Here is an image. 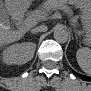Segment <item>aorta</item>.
I'll use <instances>...</instances> for the list:
<instances>
[{"instance_id":"obj_1","label":"aorta","mask_w":91,"mask_h":91,"mask_svg":"<svg viewBox=\"0 0 91 91\" xmlns=\"http://www.w3.org/2000/svg\"><path fill=\"white\" fill-rule=\"evenodd\" d=\"M68 38H69V33L64 26L57 25L54 28V39L57 42L65 43L67 42Z\"/></svg>"}]
</instances>
